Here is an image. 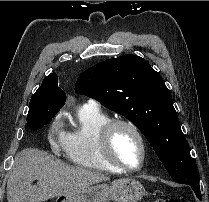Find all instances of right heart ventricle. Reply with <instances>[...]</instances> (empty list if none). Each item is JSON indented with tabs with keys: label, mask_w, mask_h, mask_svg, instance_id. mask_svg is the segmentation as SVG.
I'll use <instances>...</instances> for the list:
<instances>
[{
	"label": "right heart ventricle",
	"mask_w": 209,
	"mask_h": 202,
	"mask_svg": "<svg viewBox=\"0 0 209 202\" xmlns=\"http://www.w3.org/2000/svg\"><path fill=\"white\" fill-rule=\"evenodd\" d=\"M110 117L95 107L83 106L77 117V126L67 132L63 156L74 165L86 169L121 172L103 158L98 138Z\"/></svg>",
	"instance_id": "1"
}]
</instances>
